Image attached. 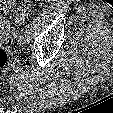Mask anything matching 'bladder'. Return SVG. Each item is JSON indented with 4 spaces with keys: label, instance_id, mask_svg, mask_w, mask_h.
<instances>
[{
    "label": "bladder",
    "instance_id": "1",
    "mask_svg": "<svg viewBox=\"0 0 113 113\" xmlns=\"http://www.w3.org/2000/svg\"><path fill=\"white\" fill-rule=\"evenodd\" d=\"M6 35H7V28L5 29L4 34H2L1 37L5 39Z\"/></svg>",
    "mask_w": 113,
    "mask_h": 113
}]
</instances>
